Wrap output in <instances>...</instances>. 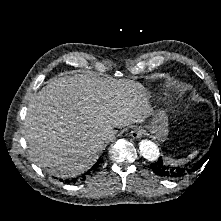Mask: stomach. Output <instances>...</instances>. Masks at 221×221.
Instances as JSON below:
<instances>
[{"mask_svg": "<svg viewBox=\"0 0 221 221\" xmlns=\"http://www.w3.org/2000/svg\"><path fill=\"white\" fill-rule=\"evenodd\" d=\"M146 127L158 140L164 141L168 135V116L165 111H157Z\"/></svg>", "mask_w": 221, "mask_h": 221, "instance_id": "1", "label": "stomach"}]
</instances>
